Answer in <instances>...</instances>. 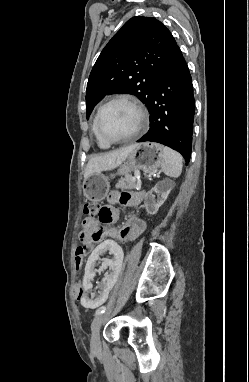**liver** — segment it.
<instances>
[{"label":"liver","instance_id":"liver-1","mask_svg":"<svg viewBox=\"0 0 249 382\" xmlns=\"http://www.w3.org/2000/svg\"><path fill=\"white\" fill-rule=\"evenodd\" d=\"M134 145L92 157L85 169L84 178L86 179L93 173L111 170L121 165L129 154L133 151Z\"/></svg>","mask_w":249,"mask_h":382}]
</instances>
